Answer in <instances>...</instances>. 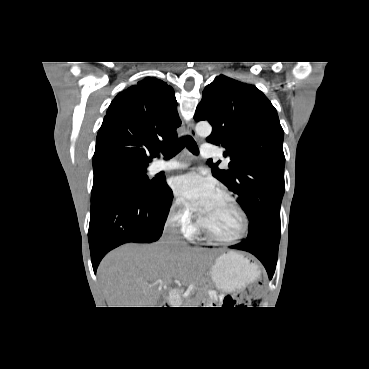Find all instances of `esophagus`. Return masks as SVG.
<instances>
[{
    "instance_id": "34e87169",
    "label": "esophagus",
    "mask_w": 369,
    "mask_h": 369,
    "mask_svg": "<svg viewBox=\"0 0 369 369\" xmlns=\"http://www.w3.org/2000/svg\"><path fill=\"white\" fill-rule=\"evenodd\" d=\"M187 132L189 135H191L192 137L196 138V131H195V124L194 121L191 120L188 124H187Z\"/></svg>"
}]
</instances>
